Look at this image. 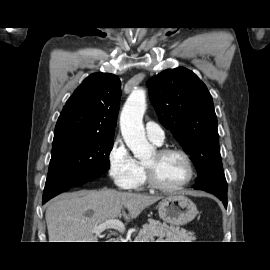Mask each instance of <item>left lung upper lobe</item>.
I'll use <instances>...</instances> for the list:
<instances>
[{
  "label": "left lung upper lobe",
  "mask_w": 270,
  "mask_h": 270,
  "mask_svg": "<svg viewBox=\"0 0 270 270\" xmlns=\"http://www.w3.org/2000/svg\"><path fill=\"white\" fill-rule=\"evenodd\" d=\"M147 84L159 121L191 155L197 182L223 173L217 118L205 84L184 67L167 69Z\"/></svg>",
  "instance_id": "obj_1"
}]
</instances>
